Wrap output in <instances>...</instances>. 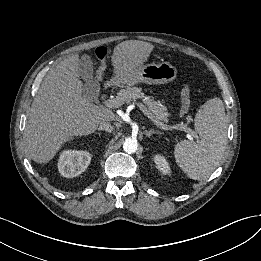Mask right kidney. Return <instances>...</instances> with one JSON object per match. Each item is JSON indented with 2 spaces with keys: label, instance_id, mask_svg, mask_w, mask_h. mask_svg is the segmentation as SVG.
I'll list each match as a JSON object with an SVG mask.
<instances>
[{
  "label": "right kidney",
  "instance_id": "right-kidney-1",
  "mask_svg": "<svg viewBox=\"0 0 261 261\" xmlns=\"http://www.w3.org/2000/svg\"><path fill=\"white\" fill-rule=\"evenodd\" d=\"M91 161L87 151L65 150L58 160V170L62 176L73 178L83 173Z\"/></svg>",
  "mask_w": 261,
  "mask_h": 261
}]
</instances>
